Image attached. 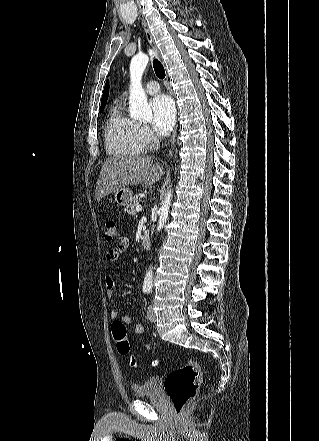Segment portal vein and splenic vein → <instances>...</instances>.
Wrapping results in <instances>:
<instances>
[{
  "mask_svg": "<svg viewBox=\"0 0 319 441\" xmlns=\"http://www.w3.org/2000/svg\"><path fill=\"white\" fill-rule=\"evenodd\" d=\"M136 211H137V212L142 211V206H141V205L136 206Z\"/></svg>",
  "mask_w": 319,
  "mask_h": 441,
  "instance_id": "obj_1",
  "label": "portal vein and splenic vein"
}]
</instances>
